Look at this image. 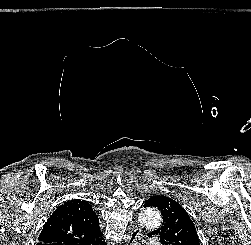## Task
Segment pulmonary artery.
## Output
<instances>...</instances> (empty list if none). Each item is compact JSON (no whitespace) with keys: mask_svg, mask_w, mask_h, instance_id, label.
<instances>
[{"mask_svg":"<svg viewBox=\"0 0 251 245\" xmlns=\"http://www.w3.org/2000/svg\"><path fill=\"white\" fill-rule=\"evenodd\" d=\"M150 245H160V242L156 238H152L149 242Z\"/></svg>","mask_w":251,"mask_h":245,"instance_id":"obj_1","label":"pulmonary artery"}]
</instances>
